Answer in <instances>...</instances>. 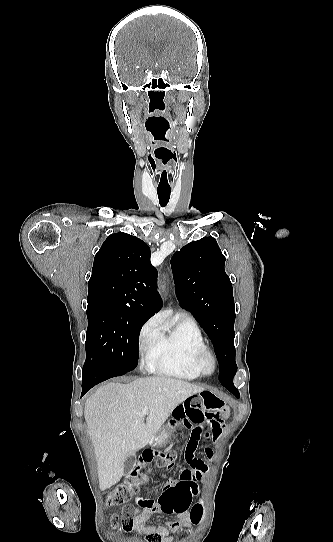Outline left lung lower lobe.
Wrapping results in <instances>:
<instances>
[{
  "label": "left lung lower lobe",
  "instance_id": "1",
  "mask_svg": "<svg viewBox=\"0 0 333 542\" xmlns=\"http://www.w3.org/2000/svg\"><path fill=\"white\" fill-rule=\"evenodd\" d=\"M221 384L223 386L226 387V389H228L231 393H233L234 395L238 396L239 395V392L238 390L235 388L234 384H233V380H229V381H224V380H220Z\"/></svg>",
  "mask_w": 333,
  "mask_h": 542
}]
</instances>
